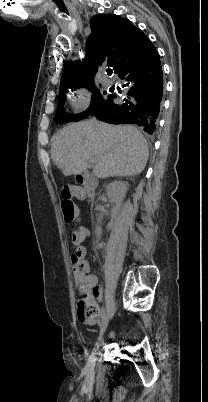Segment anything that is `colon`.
I'll list each match as a JSON object with an SVG mask.
<instances>
[{
	"label": "colon",
	"instance_id": "colon-1",
	"mask_svg": "<svg viewBox=\"0 0 208 402\" xmlns=\"http://www.w3.org/2000/svg\"><path fill=\"white\" fill-rule=\"evenodd\" d=\"M73 187L64 186L61 191V195L63 198H69L72 195ZM64 213V221L65 222H74L77 220L78 212L73 206L68 205L65 208ZM88 232L86 229H79L78 231L71 232V242L77 247V249H72V258L71 261L76 263L83 259V255L85 254V249L81 245L82 238H86ZM87 287V286H86ZM87 289H82L81 297L77 298V305L81 306L84 310L82 313L81 309L78 310V314L81 318H90L93 317L97 313V306L95 305V301L92 297H88Z\"/></svg>",
	"mask_w": 208,
	"mask_h": 402
}]
</instances>
